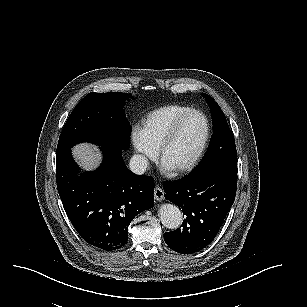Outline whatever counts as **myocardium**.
<instances>
[{"label":"myocardium","instance_id":"obj_1","mask_svg":"<svg viewBox=\"0 0 307 307\" xmlns=\"http://www.w3.org/2000/svg\"><path fill=\"white\" fill-rule=\"evenodd\" d=\"M195 118L202 130L201 133V139L198 145V148L195 152V154L192 156L191 159L186 161L185 163H177L172 162L166 157V151L171 145V141L174 139L176 132L180 129L182 124H184L189 119ZM208 125L205 120V115L199 111V110H191L189 112H186L178 117V119L173 121V124L168 129V134L165 135L162 139L163 143H160L158 145V150L156 152V160L158 164L166 171L169 172H180V171H186L190 169L195 162L198 160L200 155L202 154L207 140V134H208Z\"/></svg>","mask_w":307,"mask_h":307}]
</instances>
